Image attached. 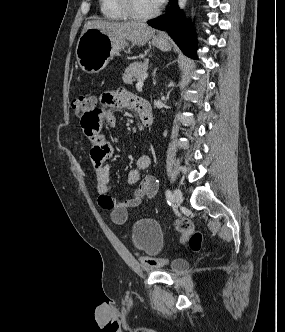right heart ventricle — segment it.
<instances>
[{
	"mask_svg": "<svg viewBox=\"0 0 285 332\" xmlns=\"http://www.w3.org/2000/svg\"><path fill=\"white\" fill-rule=\"evenodd\" d=\"M102 16L110 21H125L129 17L119 5L118 0H99Z\"/></svg>",
	"mask_w": 285,
	"mask_h": 332,
	"instance_id": "1",
	"label": "right heart ventricle"
}]
</instances>
